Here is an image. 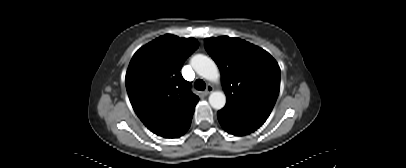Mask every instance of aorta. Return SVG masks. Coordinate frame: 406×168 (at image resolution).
Segmentation results:
<instances>
[{"label": "aorta", "instance_id": "1", "mask_svg": "<svg viewBox=\"0 0 406 168\" xmlns=\"http://www.w3.org/2000/svg\"><path fill=\"white\" fill-rule=\"evenodd\" d=\"M191 65L196 73L209 81H217L220 77L219 70L215 62L202 54L192 57ZM209 103L216 110L222 109L226 104V96L221 91L212 92L209 96Z\"/></svg>", "mask_w": 406, "mask_h": 168}]
</instances>
